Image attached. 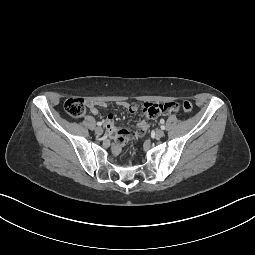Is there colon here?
<instances>
[{"instance_id": "obj_1", "label": "colon", "mask_w": 255, "mask_h": 255, "mask_svg": "<svg viewBox=\"0 0 255 255\" xmlns=\"http://www.w3.org/2000/svg\"><path fill=\"white\" fill-rule=\"evenodd\" d=\"M182 110L189 113L193 109V105L190 101H182ZM65 111L72 118H81L86 113V104L82 98L72 97L66 100L64 104Z\"/></svg>"}]
</instances>
